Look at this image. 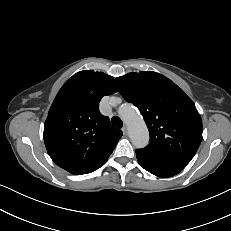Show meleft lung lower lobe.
I'll return each instance as SVG.
<instances>
[{
	"mask_svg": "<svg viewBox=\"0 0 231 231\" xmlns=\"http://www.w3.org/2000/svg\"><path fill=\"white\" fill-rule=\"evenodd\" d=\"M139 164L148 172L159 177H171L179 173L183 168L170 165L159 164L146 159L136 153Z\"/></svg>",
	"mask_w": 231,
	"mask_h": 231,
	"instance_id": "0a47b994",
	"label": "left lung lower lobe"
}]
</instances>
